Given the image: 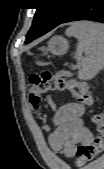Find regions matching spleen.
<instances>
[{"label": "spleen", "instance_id": "1", "mask_svg": "<svg viewBox=\"0 0 104 169\" xmlns=\"http://www.w3.org/2000/svg\"><path fill=\"white\" fill-rule=\"evenodd\" d=\"M66 35L78 39L74 54L80 65L78 78L93 79L104 67V26L93 22H76L66 30Z\"/></svg>", "mask_w": 104, "mask_h": 169}]
</instances>
